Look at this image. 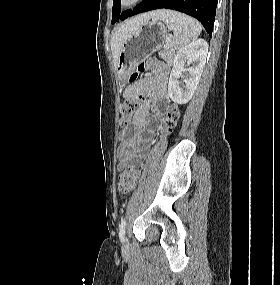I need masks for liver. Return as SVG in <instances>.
I'll use <instances>...</instances> for the list:
<instances>
[{"mask_svg": "<svg viewBox=\"0 0 280 285\" xmlns=\"http://www.w3.org/2000/svg\"><path fill=\"white\" fill-rule=\"evenodd\" d=\"M157 11L144 13L133 17L118 27L111 39V50L113 54L114 65L118 63L119 53L122 44L128 39L141 25L148 22L156 16Z\"/></svg>", "mask_w": 280, "mask_h": 285, "instance_id": "1", "label": "liver"}]
</instances>
